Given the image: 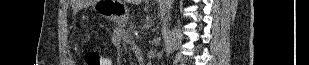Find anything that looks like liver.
<instances>
[{"mask_svg": "<svg viewBox=\"0 0 309 65\" xmlns=\"http://www.w3.org/2000/svg\"><path fill=\"white\" fill-rule=\"evenodd\" d=\"M130 2L139 4V3L141 2V0H132V1H130Z\"/></svg>", "mask_w": 309, "mask_h": 65, "instance_id": "1", "label": "liver"}]
</instances>
